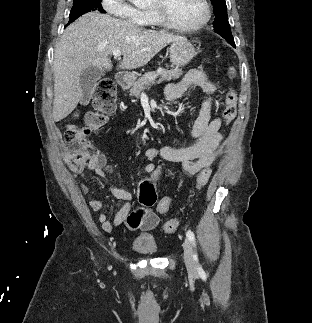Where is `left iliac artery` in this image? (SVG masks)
Segmentation results:
<instances>
[{"instance_id":"obj_1","label":"left iliac artery","mask_w":312,"mask_h":323,"mask_svg":"<svg viewBox=\"0 0 312 323\" xmlns=\"http://www.w3.org/2000/svg\"><path fill=\"white\" fill-rule=\"evenodd\" d=\"M186 236L188 237V239L190 240V242L193 244V246H195L196 244H195V236H194V233L191 230H188L187 233H186Z\"/></svg>"}]
</instances>
